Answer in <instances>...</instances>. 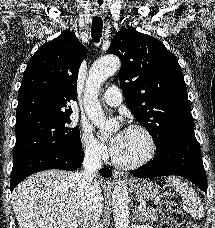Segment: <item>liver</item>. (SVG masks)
Wrapping results in <instances>:
<instances>
[{
    "label": "liver",
    "instance_id": "obj_1",
    "mask_svg": "<svg viewBox=\"0 0 215 228\" xmlns=\"http://www.w3.org/2000/svg\"><path fill=\"white\" fill-rule=\"evenodd\" d=\"M78 174V172H75ZM101 186L106 180H99ZM19 228H82V208L73 172H37L13 190Z\"/></svg>",
    "mask_w": 215,
    "mask_h": 228
}]
</instances>
